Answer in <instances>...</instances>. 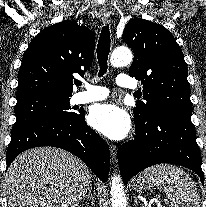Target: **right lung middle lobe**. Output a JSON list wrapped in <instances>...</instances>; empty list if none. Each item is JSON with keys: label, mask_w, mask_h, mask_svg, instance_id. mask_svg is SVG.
Wrapping results in <instances>:
<instances>
[{"label": "right lung middle lobe", "mask_w": 206, "mask_h": 207, "mask_svg": "<svg viewBox=\"0 0 206 207\" xmlns=\"http://www.w3.org/2000/svg\"><path fill=\"white\" fill-rule=\"evenodd\" d=\"M70 97L71 95L44 93L17 99L14 127L43 119L78 116L80 113L72 111L73 108L69 104Z\"/></svg>", "instance_id": "1"}]
</instances>
